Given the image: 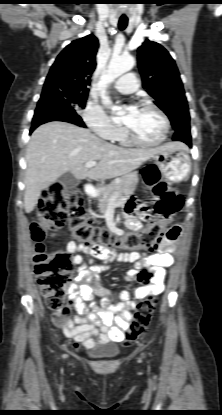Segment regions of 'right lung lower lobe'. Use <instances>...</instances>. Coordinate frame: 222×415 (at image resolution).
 <instances>
[{
  "label": "right lung lower lobe",
  "instance_id": "right-lung-lower-lobe-1",
  "mask_svg": "<svg viewBox=\"0 0 222 415\" xmlns=\"http://www.w3.org/2000/svg\"><path fill=\"white\" fill-rule=\"evenodd\" d=\"M50 121H64L86 127L72 106L53 92L44 94V98L38 102L30 133L39 125Z\"/></svg>",
  "mask_w": 222,
  "mask_h": 415
}]
</instances>
